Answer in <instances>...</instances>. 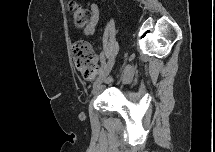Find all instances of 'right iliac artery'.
Returning <instances> with one entry per match:
<instances>
[{
	"instance_id": "82829eb1",
	"label": "right iliac artery",
	"mask_w": 215,
	"mask_h": 152,
	"mask_svg": "<svg viewBox=\"0 0 215 152\" xmlns=\"http://www.w3.org/2000/svg\"><path fill=\"white\" fill-rule=\"evenodd\" d=\"M102 59H101V68H100V73L102 72V70L104 69V67L106 66V59L104 57V54L102 53Z\"/></svg>"
}]
</instances>
